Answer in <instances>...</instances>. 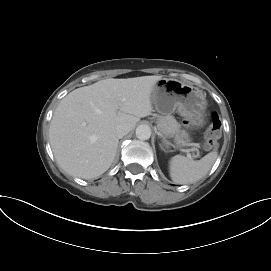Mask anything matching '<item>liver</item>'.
I'll list each match as a JSON object with an SVG mask.
<instances>
[{
    "label": "liver",
    "mask_w": 271,
    "mask_h": 271,
    "mask_svg": "<svg viewBox=\"0 0 271 271\" xmlns=\"http://www.w3.org/2000/svg\"><path fill=\"white\" fill-rule=\"evenodd\" d=\"M161 76L105 79L77 88L58 104L49 139L59 166L68 174L95 178L106 172L116 155V128L153 111L151 93Z\"/></svg>",
    "instance_id": "obj_1"
}]
</instances>
